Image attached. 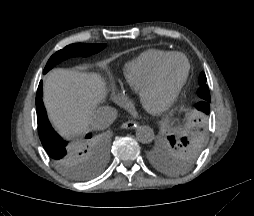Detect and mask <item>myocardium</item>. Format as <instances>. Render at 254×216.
Here are the masks:
<instances>
[{"label": "myocardium", "instance_id": "myocardium-1", "mask_svg": "<svg viewBox=\"0 0 254 216\" xmlns=\"http://www.w3.org/2000/svg\"><path fill=\"white\" fill-rule=\"evenodd\" d=\"M175 58H182L185 61V70L181 77V79L178 81V83L174 86V88L169 92L163 103L157 107L151 108V111L153 113H163L167 111L175 102L177 96L179 95L180 91L182 90L183 86L185 85L189 72H190V63L185 55L181 53H172L167 58H165L163 61H161L153 71L149 81L147 84L139 91L138 98L141 103H143L145 106V96L148 92H150L154 87L157 85L159 78L161 76V73L164 69V67L173 59ZM148 107V106H147ZM150 108V107H149Z\"/></svg>", "mask_w": 254, "mask_h": 216}]
</instances>
